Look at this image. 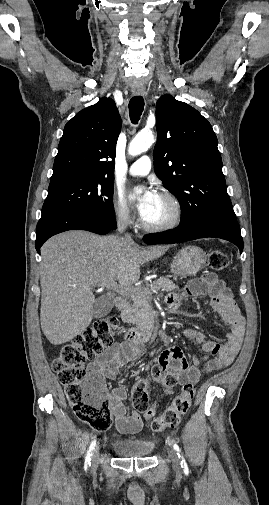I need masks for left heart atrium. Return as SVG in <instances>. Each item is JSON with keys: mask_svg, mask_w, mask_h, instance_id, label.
I'll list each match as a JSON object with an SVG mask.
<instances>
[{"mask_svg": "<svg viewBox=\"0 0 269 505\" xmlns=\"http://www.w3.org/2000/svg\"><path fill=\"white\" fill-rule=\"evenodd\" d=\"M158 196L159 194L155 189L151 187L145 189L143 195L141 196L137 204V210L143 219L146 218L147 215L149 214Z\"/></svg>", "mask_w": 269, "mask_h": 505, "instance_id": "39dd6f15", "label": "left heart atrium"}]
</instances>
